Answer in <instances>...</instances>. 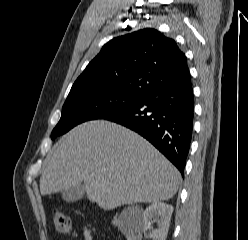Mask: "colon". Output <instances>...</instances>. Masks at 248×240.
<instances>
[{
  "mask_svg": "<svg viewBox=\"0 0 248 240\" xmlns=\"http://www.w3.org/2000/svg\"><path fill=\"white\" fill-rule=\"evenodd\" d=\"M50 215L55 229L66 237L72 238L75 231L68 216H66L57 206L50 207Z\"/></svg>",
  "mask_w": 248,
  "mask_h": 240,
  "instance_id": "1",
  "label": "colon"
}]
</instances>
